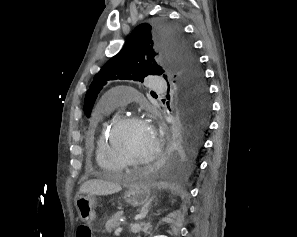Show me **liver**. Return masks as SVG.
<instances>
[{"mask_svg": "<svg viewBox=\"0 0 297 237\" xmlns=\"http://www.w3.org/2000/svg\"><path fill=\"white\" fill-rule=\"evenodd\" d=\"M119 191H121L119 184L98 179L88 180L80 187V193L99 196L110 195Z\"/></svg>", "mask_w": 297, "mask_h": 237, "instance_id": "obj_1", "label": "liver"}]
</instances>
